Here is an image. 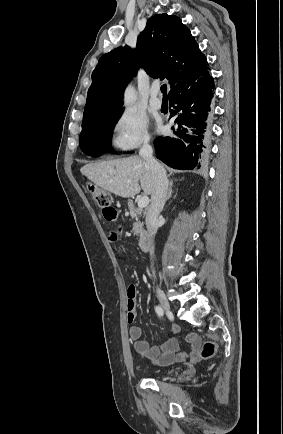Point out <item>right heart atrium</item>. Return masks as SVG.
Returning <instances> with one entry per match:
<instances>
[{
  "label": "right heart atrium",
  "mask_w": 283,
  "mask_h": 434,
  "mask_svg": "<svg viewBox=\"0 0 283 434\" xmlns=\"http://www.w3.org/2000/svg\"><path fill=\"white\" fill-rule=\"evenodd\" d=\"M113 132L115 146L125 152L147 144L150 140L146 118L133 109H126L117 116Z\"/></svg>",
  "instance_id": "1"
}]
</instances>
